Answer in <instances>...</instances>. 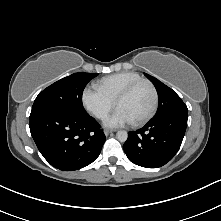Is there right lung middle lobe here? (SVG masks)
<instances>
[{
  "label": "right lung middle lobe",
  "instance_id": "right-lung-middle-lobe-1",
  "mask_svg": "<svg viewBox=\"0 0 221 221\" xmlns=\"http://www.w3.org/2000/svg\"><path fill=\"white\" fill-rule=\"evenodd\" d=\"M97 73H75L53 83L36 97L30 117L46 111L86 112L82 104V93L86 84Z\"/></svg>",
  "mask_w": 221,
  "mask_h": 221
}]
</instances>
